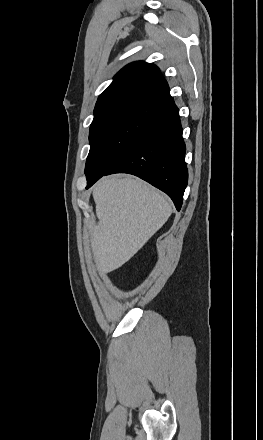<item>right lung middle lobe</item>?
<instances>
[{"mask_svg":"<svg viewBox=\"0 0 263 440\" xmlns=\"http://www.w3.org/2000/svg\"><path fill=\"white\" fill-rule=\"evenodd\" d=\"M159 106L114 108L96 116L90 126L87 180L102 176L112 162L138 137Z\"/></svg>","mask_w":263,"mask_h":440,"instance_id":"dd1d6c3e","label":"right lung middle lobe"}]
</instances>
